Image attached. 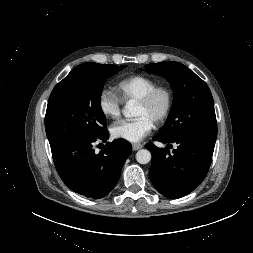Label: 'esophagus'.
Here are the masks:
<instances>
[{"label": "esophagus", "instance_id": "esophagus-1", "mask_svg": "<svg viewBox=\"0 0 253 253\" xmlns=\"http://www.w3.org/2000/svg\"><path fill=\"white\" fill-rule=\"evenodd\" d=\"M142 147H143V145L140 144V143H133V144H132V149H133L134 151L139 150V149H141Z\"/></svg>", "mask_w": 253, "mask_h": 253}]
</instances>
